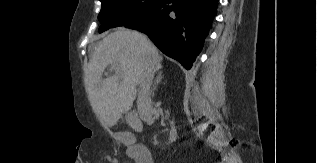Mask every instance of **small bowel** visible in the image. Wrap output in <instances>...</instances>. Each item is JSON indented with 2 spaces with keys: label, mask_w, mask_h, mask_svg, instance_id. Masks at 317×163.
I'll use <instances>...</instances> for the list:
<instances>
[{
  "label": "small bowel",
  "mask_w": 317,
  "mask_h": 163,
  "mask_svg": "<svg viewBox=\"0 0 317 163\" xmlns=\"http://www.w3.org/2000/svg\"><path fill=\"white\" fill-rule=\"evenodd\" d=\"M128 155L133 158L136 163H153V159L150 153L147 156L139 157L134 153L131 146L128 148Z\"/></svg>",
  "instance_id": "1"
}]
</instances>
